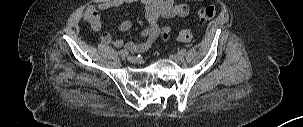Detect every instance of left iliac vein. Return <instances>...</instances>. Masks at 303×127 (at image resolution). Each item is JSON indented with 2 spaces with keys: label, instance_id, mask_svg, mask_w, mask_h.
<instances>
[{
  "label": "left iliac vein",
  "instance_id": "1",
  "mask_svg": "<svg viewBox=\"0 0 303 127\" xmlns=\"http://www.w3.org/2000/svg\"><path fill=\"white\" fill-rule=\"evenodd\" d=\"M171 58L176 62H182L184 60L183 56H181L180 54H175Z\"/></svg>",
  "mask_w": 303,
  "mask_h": 127
}]
</instances>
